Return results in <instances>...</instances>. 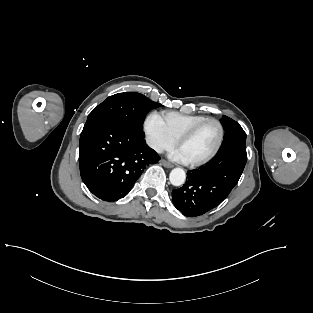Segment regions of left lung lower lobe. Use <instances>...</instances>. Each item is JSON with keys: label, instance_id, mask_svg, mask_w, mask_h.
Listing matches in <instances>:
<instances>
[{"label": "left lung lower lobe", "instance_id": "left-lung-lower-lobe-1", "mask_svg": "<svg viewBox=\"0 0 313 313\" xmlns=\"http://www.w3.org/2000/svg\"><path fill=\"white\" fill-rule=\"evenodd\" d=\"M247 161L245 143L219 149L205 166L187 172L185 184L172 191L175 207L188 217L203 215L231 192Z\"/></svg>", "mask_w": 313, "mask_h": 313}]
</instances>
